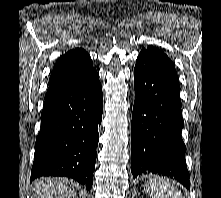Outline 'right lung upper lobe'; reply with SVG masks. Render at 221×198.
Segmentation results:
<instances>
[{
    "label": "right lung upper lobe",
    "instance_id": "cb5924a9",
    "mask_svg": "<svg viewBox=\"0 0 221 198\" xmlns=\"http://www.w3.org/2000/svg\"><path fill=\"white\" fill-rule=\"evenodd\" d=\"M94 70L92 60L84 49L68 51L54 65L45 98L73 86Z\"/></svg>",
    "mask_w": 221,
    "mask_h": 198
}]
</instances>
